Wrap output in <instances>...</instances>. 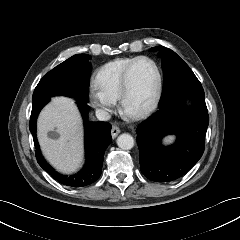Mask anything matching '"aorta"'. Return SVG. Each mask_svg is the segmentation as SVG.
<instances>
[{
  "label": "aorta",
  "mask_w": 240,
  "mask_h": 240,
  "mask_svg": "<svg viewBox=\"0 0 240 240\" xmlns=\"http://www.w3.org/2000/svg\"><path fill=\"white\" fill-rule=\"evenodd\" d=\"M117 145L122 150H130L134 146V138L130 134H121L117 138Z\"/></svg>",
  "instance_id": "762f6f07"
}]
</instances>
